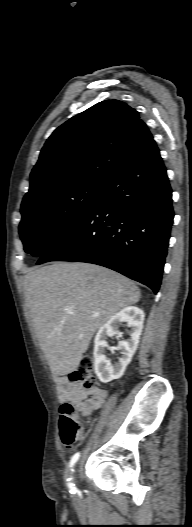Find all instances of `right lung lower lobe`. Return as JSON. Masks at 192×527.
<instances>
[{
  "label": "right lung lower lobe",
  "mask_w": 192,
  "mask_h": 527,
  "mask_svg": "<svg viewBox=\"0 0 192 527\" xmlns=\"http://www.w3.org/2000/svg\"><path fill=\"white\" fill-rule=\"evenodd\" d=\"M173 217L172 190L153 140L105 184L84 217L37 264L93 263L157 293Z\"/></svg>",
  "instance_id": "1"
}]
</instances>
